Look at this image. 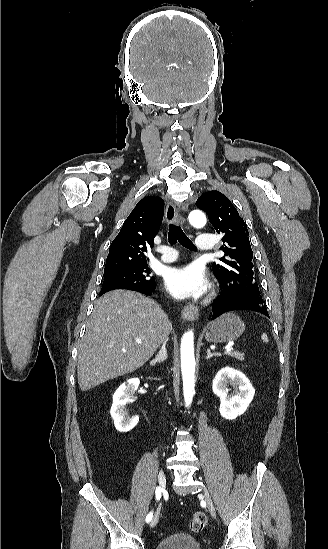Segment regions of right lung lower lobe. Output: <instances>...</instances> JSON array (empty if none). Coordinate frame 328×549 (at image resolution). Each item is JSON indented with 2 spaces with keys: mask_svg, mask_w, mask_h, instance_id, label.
Segmentation results:
<instances>
[{
  "mask_svg": "<svg viewBox=\"0 0 328 549\" xmlns=\"http://www.w3.org/2000/svg\"><path fill=\"white\" fill-rule=\"evenodd\" d=\"M155 289H156V284H155L154 286L150 287L149 289H146V290H136V291L141 292V293H143V294L150 295V294H152V293L155 291Z\"/></svg>",
  "mask_w": 328,
  "mask_h": 549,
  "instance_id": "right-lung-lower-lobe-1",
  "label": "right lung lower lobe"
}]
</instances>
